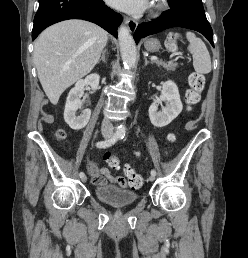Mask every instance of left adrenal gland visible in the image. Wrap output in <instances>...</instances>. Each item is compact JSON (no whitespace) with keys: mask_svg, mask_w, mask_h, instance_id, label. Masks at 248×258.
<instances>
[{"mask_svg":"<svg viewBox=\"0 0 248 258\" xmlns=\"http://www.w3.org/2000/svg\"><path fill=\"white\" fill-rule=\"evenodd\" d=\"M144 60H145V63H144V65L146 66V65H148L150 62L148 61V59H147V57L146 56H144Z\"/></svg>","mask_w":248,"mask_h":258,"instance_id":"1","label":"left adrenal gland"}]
</instances>
